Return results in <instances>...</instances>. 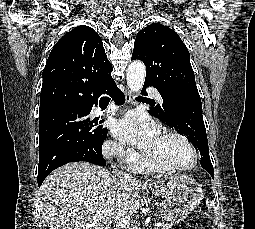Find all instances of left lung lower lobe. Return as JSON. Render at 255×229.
<instances>
[{"mask_svg":"<svg viewBox=\"0 0 255 229\" xmlns=\"http://www.w3.org/2000/svg\"><path fill=\"white\" fill-rule=\"evenodd\" d=\"M149 85L144 84V88ZM143 95H147L145 89L142 90ZM163 100H165L169 94L160 93ZM175 108L171 111L172 119L178 124L184 125V123H190L188 129L192 132H198L201 135L206 134V129L202 116V103L201 101L191 100L187 102L175 103ZM151 114V111H149ZM201 166L210 173L212 178H214V170L210 160L209 151H205L201 154Z\"/></svg>","mask_w":255,"mask_h":229,"instance_id":"0a47b994","label":"left lung lower lobe"}]
</instances>
